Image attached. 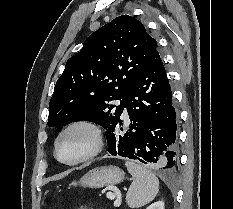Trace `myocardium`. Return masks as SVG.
<instances>
[{"label":"myocardium","mask_w":233,"mask_h":209,"mask_svg":"<svg viewBox=\"0 0 233 209\" xmlns=\"http://www.w3.org/2000/svg\"><path fill=\"white\" fill-rule=\"evenodd\" d=\"M75 128L86 129L92 134V137H93L92 147L90 148L88 152H86L84 155L80 156L79 158L75 160H72V161L62 160L58 154L60 140L67 132ZM103 146H104V134H103L101 127L92 120L78 119V120H74L68 123L57 135L55 144H54V156L60 163L69 165V166H74V165H78L83 162H86L94 158L95 156H97L103 149Z\"/></svg>","instance_id":"myocardium-1"}]
</instances>
